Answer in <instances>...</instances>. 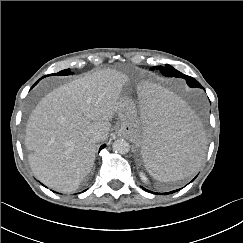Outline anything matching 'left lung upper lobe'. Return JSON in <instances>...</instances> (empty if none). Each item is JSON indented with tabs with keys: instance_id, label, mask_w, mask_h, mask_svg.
Segmentation results:
<instances>
[{
	"instance_id": "1",
	"label": "left lung upper lobe",
	"mask_w": 243,
	"mask_h": 243,
	"mask_svg": "<svg viewBox=\"0 0 243 243\" xmlns=\"http://www.w3.org/2000/svg\"><path fill=\"white\" fill-rule=\"evenodd\" d=\"M157 70H160L161 73L167 77H179V78H184L187 81V84H192L194 87L201 88L202 86L198 81H196L194 78L184 75L183 73L177 71L170 65H165V66H158L156 67Z\"/></svg>"
}]
</instances>
